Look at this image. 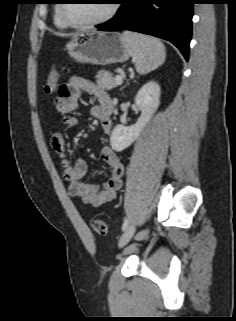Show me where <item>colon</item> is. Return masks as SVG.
Instances as JSON below:
<instances>
[{
  "instance_id": "5ec220e1",
  "label": "colon",
  "mask_w": 236,
  "mask_h": 321,
  "mask_svg": "<svg viewBox=\"0 0 236 321\" xmlns=\"http://www.w3.org/2000/svg\"><path fill=\"white\" fill-rule=\"evenodd\" d=\"M59 80V75L56 70H53L49 73L46 78L44 85V91L46 94H51L55 91ZM91 227L95 233L100 236H106L108 233V227L103 220L94 219L91 221Z\"/></svg>"
}]
</instances>
